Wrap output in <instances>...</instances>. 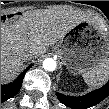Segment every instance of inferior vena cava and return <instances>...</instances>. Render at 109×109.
Here are the masks:
<instances>
[{
  "mask_svg": "<svg viewBox=\"0 0 109 109\" xmlns=\"http://www.w3.org/2000/svg\"><path fill=\"white\" fill-rule=\"evenodd\" d=\"M33 54L31 53V52H24L23 54H22V59L24 60V61H26V60H31V59H33Z\"/></svg>",
  "mask_w": 109,
  "mask_h": 109,
  "instance_id": "inferior-vena-cava-1",
  "label": "inferior vena cava"
}]
</instances>
